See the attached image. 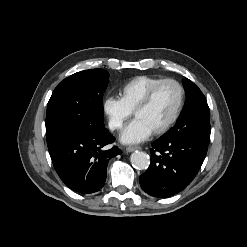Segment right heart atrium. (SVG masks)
Instances as JSON below:
<instances>
[{"mask_svg": "<svg viewBox=\"0 0 247 247\" xmlns=\"http://www.w3.org/2000/svg\"><path fill=\"white\" fill-rule=\"evenodd\" d=\"M102 110L111 130H119L132 112L125 106L121 98L107 96L103 99Z\"/></svg>", "mask_w": 247, "mask_h": 247, "instance_id": "right-heart-atrium-1", "label": "right heart atrium"}]
</instances>
